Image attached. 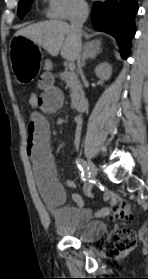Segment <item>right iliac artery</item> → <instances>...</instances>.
Returning <instances> with one entry per match:
<instances>
[{
    "label": "right iliac artery",
    "mask_w": 148,
    "mask_h": 279,
    "mask_svg": "<svg viewBox=\"0 0 148 279\" xmlns=\"http://www.w3.org/2000/svg\"><path fill=\"white\" fill-rule=\"evenodd\" d=\"M76 164L81 171L82 181L85 182L90 178L89 167L82 159H77ZM91 187H87L86 194H90Z\"/></svg>",
    "instance_id": "obj_1"
}]
</instances>
